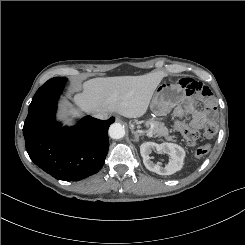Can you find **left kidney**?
<instances>
[{
	"label": "left kidney",
	"instance_id": "5707ae66",
	"mask_svg": "<svg viewBox=\"0 0 245 245\" xmlns=\"http://www.w3.org/2000/svg\"><path fill=\"white\" fill-rule=\"evenodd\" d=\"M152 151L168 154L170 156L168 164L165 165V167H162L160 163L155 164L151 161V157L149 155ZM140 153L145 167L149 171L155 172L159 175L174 174L181 170L184 164L185 150L174 143L157 144L155 142H145L140 146Z\"/></svg>",
	"mask_w": 245,
	"mask_h": 245
}]
</instances>
